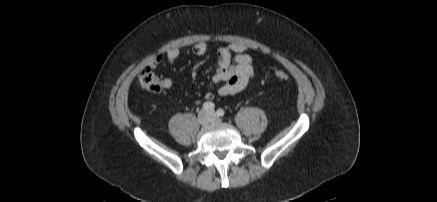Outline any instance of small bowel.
Segmentation results:
<instances>
[{"instance_id":"c3829d8e","label":"small bowel","mask_w":437,"mask_h":202,"mask_svg":"<svg viewBox=\"0 0 437 202\" xmlns=\"http://www.w3.org/2000/svg\"><path fill=\"white\" fill-rule=\"evenodd\" d=\"M206 50L207 44L205 42H200L192 48L193 54L197 56L203 55ZM183 58L180 49L173 47L168 49L164 56L153 58L150 64L152 67H156L164 60L173 64ZM254 74V61L252 56L248 54V47L245 44L232 42L217 49L216 71L212 81L215 85H218L216 93L219 98L235 95L244 90ZM171 86L172 81L170 79L163 80L164 88H170ZM205 98L212 100L214 94L208 91Z\"/></svg>"}]
</instances>
